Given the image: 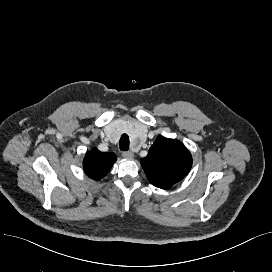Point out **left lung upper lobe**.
<instances>
[{"instance_id":"left-lung-upper-lobe-1","label":"left lung upper lobe","mask_w":272,"mask_h":272,"mask_svg":"<svg viewBox=\"0 0 272 272\" xmlns=\"http://www.w3.org/2000/svg\"><path fill=\"white\" fill-rule=\"evenodd\" d=\"M141 165L151 184L169 189L188 174L192 156L182 142L158 136Z\"/></svg>"}]
</instances>
